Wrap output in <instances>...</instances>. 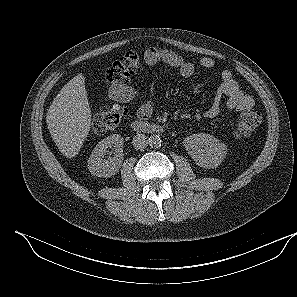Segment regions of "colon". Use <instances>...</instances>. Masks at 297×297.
I'll return each mask as SVG.
<instances>
[{
	"label": "colon",
	"instance_id": "5ec220e1",
	"mask_svg": "<svg viewBox=\"0 0 297 297\" xmlns=\"http://www.w3.org/2000/svg\"><path fill=\"white\" fill-rule=\"evenodd\" d=\"M140 66V57L129 52L117 61L113 62L105 74V83L107 85L116 84L124 81L126 77L137 70ZM125 112L118 107L102 109L92 121V130L96 134H104L116 129ZM262 116L257 111H247L240 115L235 135L245 137L252 134L261 124Z\"/></svg>",
	"mask_w": 297,
	"mask_h": 297
}]
</instances>
